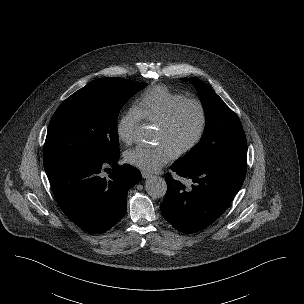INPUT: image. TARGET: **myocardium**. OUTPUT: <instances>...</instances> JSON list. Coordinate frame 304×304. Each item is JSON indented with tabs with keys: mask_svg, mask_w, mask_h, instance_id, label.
Instances as JSON below:
<instances>
[{
	"mask_svg": "<svg viewBox=\"0 0 304 304\" xmlns=\"http://www.w3.org/2000/svg\"><path fill=\"white\" fill-rule=\"evenodd\" d=\"M188 104H192L197 108L199 113V124L193 138L189 142L175 150L176 155H183L190 152L201 142L205 134L208 122L207 110L204 103L196 97L183 98L170 108L168 113L158 124L159 128H161L162 130H169L172 127L180 110Z\"/></svg>",
	"mask_w": 304,
	"mask_h": 304,
	"instance_id": "myocardium-1",
	"label": "myocardium"
}]
</instances>
